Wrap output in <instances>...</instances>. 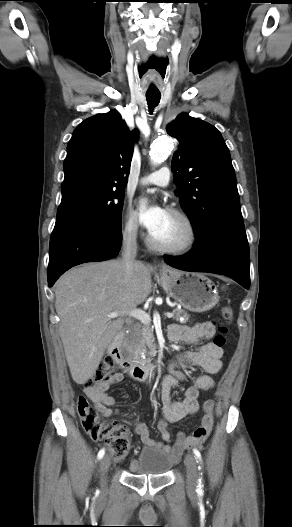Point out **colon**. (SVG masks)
Masks as SVG:
<instances>
[{"instance_id":"colon-1","label":"colon","mask_w":292,"mask_h":527,"mask_svg":"<svg viewBox=\"0 0 292 527\" xmlns=\"http://www.w3.org/2000/svg\"><path fill=\"white\" fill-rule=\"evenodd\" d=\"M233 318V311L230 307L222 309V322H218L219 334L214 338V344L222 347L225 343V334L228 325ZM117 366L115 360L108 356L98 366L95 373L89 378L85 385L95 386L107 381L116 373ZM78 413L84 430L94 441L105 443L111 454L117 458H124L131 447V440L128 429L125 425L115 421L106 422L98 418L95 409L89 404L86 398L80 397L78 400Z\"/></svg>"}]
</instances>
